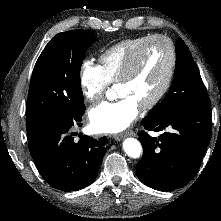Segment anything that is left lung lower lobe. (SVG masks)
<instances>
[{
	"mask_svg": "<svg viewBox=\"0 0 221 221\" xmlns=\"http://www.w3.org/2000/svg\"><path fill=\"white\" fill-rule=\"evenodd\" d=\"M149 131L169 128L159 138L145 131L138 133L143 157L136 165L142 183L159 191H170L188 184L196 175L211 138L210 99L200 104L178 103L167 116H146Z\"/></svg>",
	"mask_w": 221,
	"mask_h": 221,
	"instance_id": "left-lung-lower-lobe-1",
	"label": "left lung lower lobe"
}]
</instances>
